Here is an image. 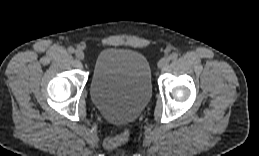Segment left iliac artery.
Returning <instances> with one entry per match:
<instances>
[{
  "mask_svg": "<svg viewBox=\"0 0 259 156\" xmlns=\"http://www.w3.org/2000/svg\"><path fill=\"white\" fill-rule=\"evenodd\" d=\"M178 58V55L176 53H172L170 56H169V59L170 60H176Z\"/></svg>",
  "mask_w": 259,
  "mask_h": 156,
  "instance_id": "obj_1",
  "label": "left iliac artery"
}]
</instances>
